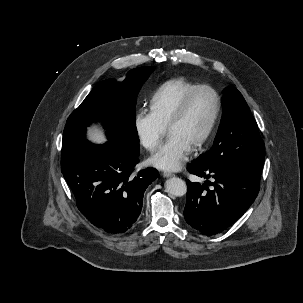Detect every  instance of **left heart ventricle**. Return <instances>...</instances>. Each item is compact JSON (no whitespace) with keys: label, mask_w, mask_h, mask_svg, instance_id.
Instances as JSON below:
<instances>
[{"label":"left heart ventricle","mask_w":303,"mask_h":303,"mask_svg":"<svg viewBox=\"0 0 303 303\" xmlns=\"http://www.w3.org/2000/svg\"><path fill=\"white\" fill-rule=\"evenodd\" d=\"M215 110V97L209 90H200L191 100L185 115L169 128L192 146L207 129Z\"/></svg>","instance_id":"b2bd125f"}]
</instances>
